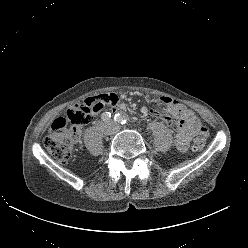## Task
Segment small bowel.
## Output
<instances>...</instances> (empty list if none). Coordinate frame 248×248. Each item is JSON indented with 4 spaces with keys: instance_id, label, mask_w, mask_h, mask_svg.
I'll use <instances>...</instances> for the list:
<instances>
[{
    "instance_id": "small-bowel-1",
    "label": "small bowel",
    "mask_w": 248,
    "mask_h": 248,
    "mask_svg": "<svg viewBox=\"0 0 248 248\" xmlns=\"http://www.w3.org/2000/svg\"><path fill=\"white\" fill-rule=\"evenodd\" d=\"M108 95H111L113 98V104L108 105H111L113 108H125L124 105L120 104L116 94L110 93ZM162 103L165 105L164 107L160 106ZM105 105L107 104L102 102V106L97 113H99ZM140 112L143 115L150 114L160 118L167 124H171L173 120H175L178 128L175 136V145L179 151H187L190 138L196 134V126L198 125V120L192 111L177 100L157 96L156 99L152 101L151 107H142Z\"/></svg>"
}]
</instances>
